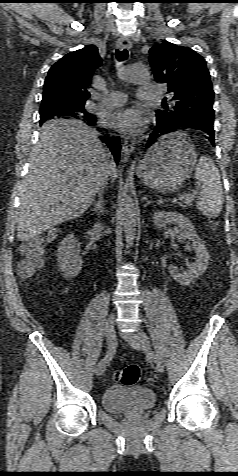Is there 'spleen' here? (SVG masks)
<instances>
[{
	"label": "spleen",
	"instance_id": "spleen-1",
	"mask_svg": "<svg viewBox=\"0 0 238 476\" xmlns=\"http://www.w3.org/2000/svg\"><path fill=\"white\" fill-rule=\"evenodd\" d=\"M194 175L201 188V197L196 203L197 208L205 216L217 217L224 201L218 168L211 158L201 156Z\"/></svg>",
	"mask_w": 238,
	"mask_h": 476
}]
</instances>
